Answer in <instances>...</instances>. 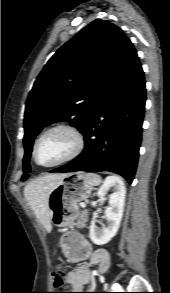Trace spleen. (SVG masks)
Listing matches in <instances>:
<instances>
[{"label": "spleen", "instance_id": "3e777b00", "mask_svg": "<svg viewBox=\"0 0 170 293\" xmlns=\"http://www.w3.org/2000/svg\"><path fill=\"white\" fill-rule=\"evenodd\" d=\"M86 176L92 186H97L102 182L101 177L97 174L88 173Z\"/></svg>", "mask_w": 170, "mask_h": 293}]
</instances>
